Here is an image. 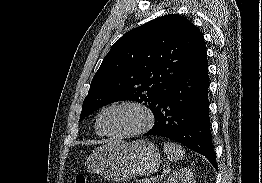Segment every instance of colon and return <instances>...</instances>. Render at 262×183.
Masks as SVG:
<instances>
[{
  "label": "colon",
  "instance_id": "5ec220e1",
  "mask_svg": "<svg viewBox=\"0 0 262 183\" xmlns=\"http://www.w3.org/2000/svg\"><path fill=\"white\" fill-rule=\"evenodd\" d=\"M73 183H86V177L84 175H77Z\"/></svg>",
  "mask_w": 262,
  "mask_h": 183
}]
</instances>
